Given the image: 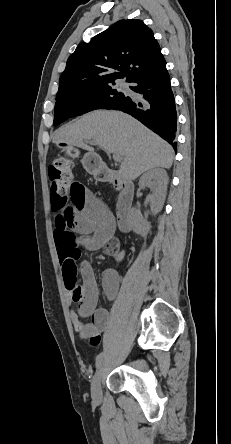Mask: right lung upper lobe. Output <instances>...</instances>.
<instances>
[{"label":"right lung upper lobe","mask_w":231,"mask_h":444,"mask_svg":"<svg viewBox=\"0 0 231 444\" xmlns=\"http://www.w3.org/2000/svg\"><path fill=\"white\" fill-rule=\"evenodd\" d=\"M165 66L152 30L141 20H121L77 46L61 74L57 95L114 84L122 77L133 82Z\"/></svg>","instance_id":"cb5924a9"}]
</instances>
